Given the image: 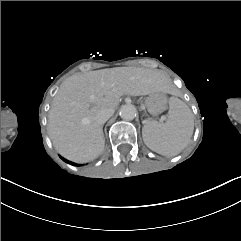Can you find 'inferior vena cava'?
Instances as JSON below:
<instances>
[{
	"label": "inferior vena cava",
	"instance_id": "obj_1",
	"mask_svg": "<svg viewBox=\"0 0 241 241\" xmlns=\"http://www.w3.org/2000/svg\"><path fill=\"white\" fill-rule=\"evenodd\" d=\"M113 113L114 110L111 109H104L100 111L95 117L96 123L99 125L104 124L113 115Z\"/></svg>",
	"mask_w": 241,
	"mask_h": 241
}]
</instances>
